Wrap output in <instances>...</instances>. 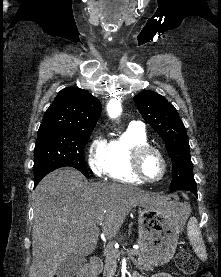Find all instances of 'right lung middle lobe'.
I'll return each instance as SVG.
<instances>
[{
  "instance_id": "obj_1",
  "label": "right lung middle lobe",
  "mask_w": 221,
  "mask_h": 277,
  "mask_svg": "<svg viewBox=\"0 0 221 277\" xmlns=\"http://www.w3.org/2000/svg\"><path fill=\"white\" fill-rule=\"evenodd\" d=\"M91 130H39L34 149V178L41 180L49 172L65 166L78 169L89 178L84 159V147Z\"/></svg>"
}]
</instances>
